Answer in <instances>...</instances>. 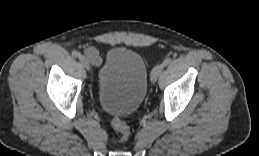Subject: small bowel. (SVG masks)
<instances>
[{
    "label": "small bowel",
    "mask_w": 259,
    "mask_h": 156,
    "mask_svg": "<svg viewBox=\"0 0 259 156\" xmlns=\"http://www.w3.org/2000/svg\"><path fill=\"white\" fill-rule=\"evenodd\" d=\"M85 55L87 56L88 61L92 64V65H100L102 63V58L99 55L98 51L96 48L94 47H87L85 49Z\"/></svg>",
    "instance_id": "c3829d8e"
}]
</instances>
